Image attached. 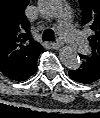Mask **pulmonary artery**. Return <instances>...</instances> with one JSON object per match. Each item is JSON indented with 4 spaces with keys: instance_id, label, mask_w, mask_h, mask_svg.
I'll return each instance as SVG.
<instances>
[{
    "instance_id": "e3ab8cb5",
    "label": "pulmonary artery",
    "mask_w": 100,
    "mask_h": 118,
    "mask_svg": "<svg viewBox=\"0 0 100 118\" xmlns=\"http://www.w3.org/2000/svg\"><path fill=\"white\" fill-rule=\"evenodd\" d=\"M58 30L62 38L71 43L76 51L85 53L88 50L86 40L71 24V14L69 11L65 10L60 14Z\"/></svg>"
}]
</instances>
